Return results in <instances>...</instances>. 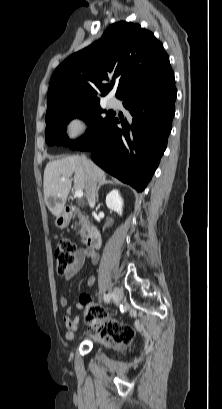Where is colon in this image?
<instances>
[{
	"label": "colon",
	"mask_w": 222,
	"mask_h": 409,
	"mask_svg": "<svg viewBox=\"0 0 222 409\" xmlns=\"http://www.w3.org/2000/svg\"><path fill=\"white\" fill-rule=\"evenodd\" d=\"M76 254L75 244L68 239H61L56 246L54 257L55 267L58 275L63 276L74 262ZM104 311L99 305H90L87 309L86 319L92 326H97L95 335L97 337H108L119 344H128L134 336L133 329L125 324L109 321L98 326Z\"/></svg>",
	"instance_id": "1"
}]
</instances>
